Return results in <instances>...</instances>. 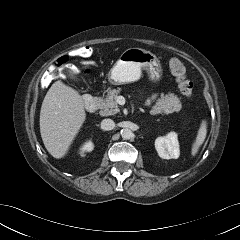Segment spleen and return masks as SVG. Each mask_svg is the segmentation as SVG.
I'll return each mask as SVG.
<instances>
[{
    "instance_id": "obj_1",
    "label": "spleen",
    "mask_w": 240,
    "mask_h": 240,
    "mask_svg": "<svg viewBox=\"0 0 240 240\" xmlns=\"http://www.w3.org/2000/svg\"><path fill=\"white\" fill-rule=\"evenodd\" d=\"M207 135V121L202 120L200 127L197 132L196 139L194 140L192 144L191 154L192 156H195L198 153V150L200 146L203 144L205 138Z\"/></svg>"
}]
</instances>
